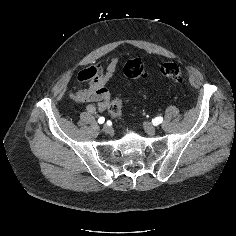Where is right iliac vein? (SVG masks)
<instances>
[{
  "label": "right iliac vein",
  "mask_w": 236,
  "mask_h": 236,
  "mask_svg": "<svg viewBox=\"0 0 236 236\" xmlns=\"http://www.w3.org/2000/svg\"><path fill=\"white\" fill-rule=\"evenodd\" d=\"M103 132L106 134H111L112 133V128L108 125L103 126Z\"/></svg>",
  "instance_id": "obj_1"
}]
</instances>
